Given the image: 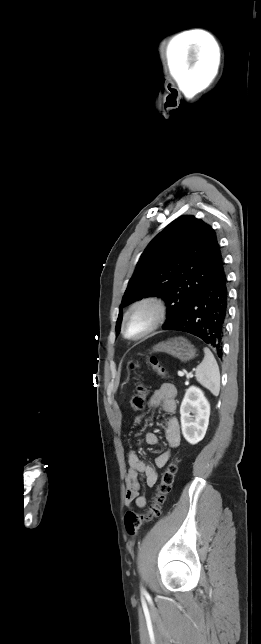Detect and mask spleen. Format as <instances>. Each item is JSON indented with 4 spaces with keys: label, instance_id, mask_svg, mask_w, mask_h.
Wrapping results in <instances>:
<instances>
[{
    "label": "spleen",
    "instance_id": "1",
    "mask_svg": "<svg viewBox=\"0 0 261 644\" xmlns=\"http://www.w3.org/2000/svg\"><path fill=\"white\" fill-rule=\"evenodd\" d=\"M204 359L197 366L195 377L196 380L207 388L214 396H218L220 391V372L218 364L208 348H204Z\"/></svg>",
    "mask_w": 261,
    "mask_h": 644
}]
</instances>
